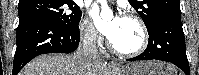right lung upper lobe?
<instances>
[{
  "label": "right lung upper lobe",
  "instance_id": "right-lung-upper-lobe-1",
  "mask_svg": "<svg viewBox=\"0 0 199 75\" xmlns=\"http://www.w3.org/2000/svg\"><path fill=\"white\" fill-rule=\"evenodd\" d=\"M24 0H20L19 2H23Z\"/></svg>",
  "mask_w": 199,
  "mask_h": 75
}]
</instances>
